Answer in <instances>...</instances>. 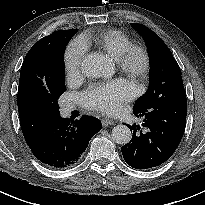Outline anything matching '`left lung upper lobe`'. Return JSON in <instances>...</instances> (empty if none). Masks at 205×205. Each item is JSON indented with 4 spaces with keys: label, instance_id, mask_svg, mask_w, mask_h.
<instances>
[{
    "label": "left lung upper lobe",
    "instance_id": "obj_1",
    "mask_svg": "<svg viewBox=\"0 0 205 205\" xmlns=\"http://www.w3.org/2000/svg\"><path fill=\"white\" fill-rule=\"evenodd\" d=\"M143 37L149 55V87L134 104L133 113H141L170 98H186L181 70L170 49L151 29L133 23Z\"/></svg>",
    "mask_w": 205,
    "mask_h": 205
}]
</instances>
